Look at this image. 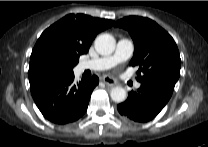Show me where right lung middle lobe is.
<instances>
[{
	"label": "right lung middle lobe",
	"instance_id": "right-lung-middle-lobe-1",
	"mask_svg": "<svg viewBox=\"0 0 208 147\" xmlns=\"http://www.w3.org/2000/svg\"><path fill=\"white\" fill-rule=\"evenodd\" d=\"M76 64H73L71 68H73Z\"/></svg>",
	"mask_w": 208,
	"mask_h": 147
}]
</instances>
